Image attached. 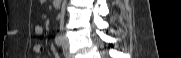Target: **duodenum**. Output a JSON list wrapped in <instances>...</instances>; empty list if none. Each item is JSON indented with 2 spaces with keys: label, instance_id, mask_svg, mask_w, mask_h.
<instances>
[{
  "label": "duodenum",
  "instance_id": "1",
  "mask_svg": "<svg viewBox=\"0 0 181 58\" xmlns=\"http://www.w3.org/2000/svg\"><path fill=\"white\" fill-rule=\"evenodd\" d=\"M61 2V0H53L54 7L59 8L61 6Z\"/></svg>",
  "mask_w": 181,
  "mask_h": 58
}]
</instances>
